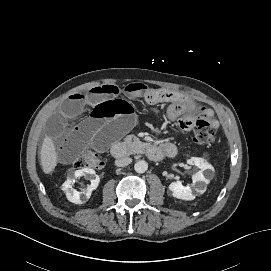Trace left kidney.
Segmentation results:
<instances>
[{
	"label": "left kidney",
	"mask_w": 271,
	"mask_h": 271,
	"mask_svg": "<svg viewBox=\"0 0 271 271\" xmlns=\"http://www.w3.org/2000/svg\"><path fill=\"white\" fill-rule=\"evenodd\" d=\"M188 164L195 165L199 168V171L196 172L192 176L193 181V189L202 191L205 189V185L210 182L209 178H206L204 175V171L206 170H213V167L207 163L204 162L201 158L198 157H191L188 159ZM169 189L172 192L173 197L181 200H192L194 195L192 193L191 187H184L181 182H172L169 185Z\"/></svg>",
	"instance_id": "1"
}]
</instances>
